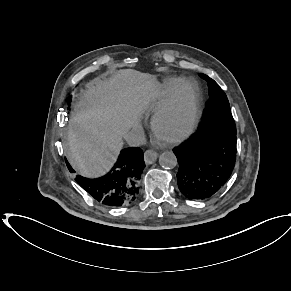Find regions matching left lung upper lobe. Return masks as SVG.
Returning a JSON list of instances; mask_svg holds the SVG:
<instances>
[{
	"instance_id": "5c2ea615",
	"label": "left lung upper lobe",
	"mask_w": 291,
	"mask_h": 291,
	"mask_svg": "<svg viewBox=\"0 0 291 291\" xmlns=\"http://www.w3.org/2000/svg\"><path fill=\"white\" fill-rule=\"evenodd\" d=\"M200 76L209 83L210 99L206 104L199 129L236 134V126L226 94L213 79L204 74Z\"/></svg>"
}]
</instances>
